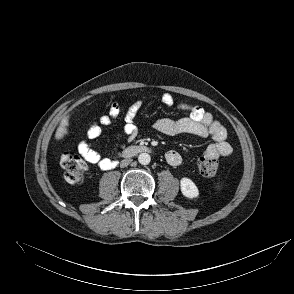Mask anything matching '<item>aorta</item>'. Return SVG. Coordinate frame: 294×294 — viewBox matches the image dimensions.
<instances>
[{
	"instance_id": "1",
	"label": "aorta",
	"mask_w": 294,
	"mask_h": 294,
	"mask_svg": "<svg viewBox=\"0 0 294 294\" xmlns=\"http://www.w3.org/2000/svg\"><path fill=\"white\" fill-rule=\"evenodd\" d=\"M138 161L142 165H148L151 161V157L148 153H141L138 156Z\"/></svg>"
}]
</instances>
